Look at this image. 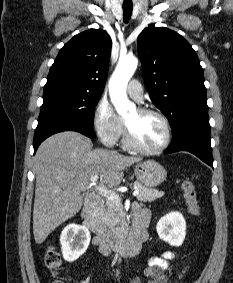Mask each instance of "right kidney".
<instances>
[{
  "mask_svg": "<svg viewBox=\"0 0 233 283\" xmlns=\"http://www.w3.org/2000/svg\"><path fill=\"white\" fill-rule=\"evenodd\" d=\"M90 239V232L85 226H66L60 236L63 258L68 262L77 260L87 250Z\"/></svg>",
  "mask_w": 233,
  "mask_h": 283,
  "instance_id": "obj_1",
  "label": "right kidney"
}]
</instances>
